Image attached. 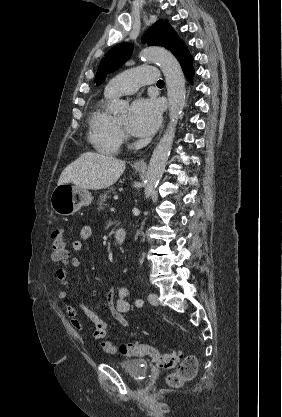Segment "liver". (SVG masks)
I'll use <instances>...</instances> for the list:
<instances>
[{"instance_id": "obj_1", "label": "liver", "mask_w": 282, "mask_h": 417, "mask_svg": "<svg viewBox=\"0 0 282 417\" xmlns=\"http://www.w3.org/2000/svg\"><path fill=\"white\" fill-rule=\"evenodd\" d=\"M125 170L124 160L98 152H83L61 172L57 184L72 182L81 188H108Z\"/></svg>"}]
</instances>
